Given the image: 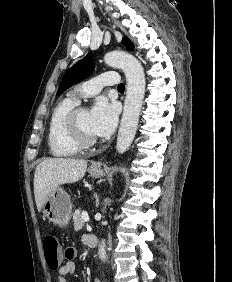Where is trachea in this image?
<instances>
[{
  "mask_svg": "<svg viewBox=\"0 0 232 282\" xmlns=\"http://www.w3.org/2000/svg\"><path fill=\"white\" fill-rule=\"evenodd\" d=\"M118 90H124L125 89V85L123 83L118 85Z\"/></svg>",
  "mask_w": 232,
  "mask_h": 282,
  "instance_id": "trachea-1",
  "label": "trachea"
}]
</instances>
